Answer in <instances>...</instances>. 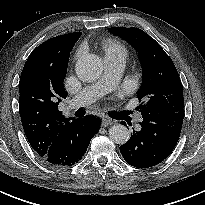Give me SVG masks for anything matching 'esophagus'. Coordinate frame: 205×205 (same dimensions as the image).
Returning a JSON list of instances; mask_svg holds the SVG:
<instances>
[{"label":"esophagus","mask_w":205,"mask_h":205,"mask_svg":"<svg viewBox=\"0 0 205 205\" xmlns=\"http://www.w3.org/2000/svg\"><path fill=\"white\" fill-rule=\"evenodd\" d=\"M113 123L114 122L108 117H103L102 118V126H104V127L112 125Z\"/></svg>","instance_id":"obj_1"}]
</instances>
